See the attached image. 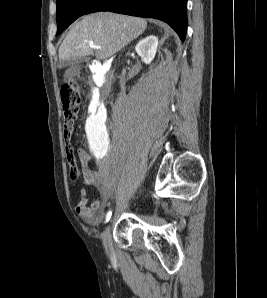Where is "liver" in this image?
Segmentation results:
<instances>
[{
	"instance_id": "obj_1",
	"label": "liver",
	"mask_w": 267,
	"mask_h": 298,
	"mask_svg": "<svg viewBox=\"0 0 267 298\" xmlns=\"http://www.w3.org/2000/svg\"><path fill=\"white\" fill-rule=\"evenodd\" d=\"M147 27L145 19L111 12L83 17L68 32L59 48V60H77L95 56L99 60L112 57ZM91 44L101 46L93 52Z\"/></svg>"
}]
</instances>
